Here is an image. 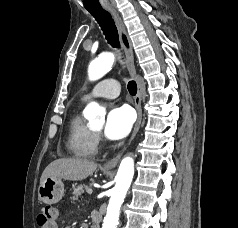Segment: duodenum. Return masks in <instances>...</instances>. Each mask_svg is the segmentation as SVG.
I'll list each match as a JSON object with an SVG mask.
<instances>
[{"label": "duodenum", "instance_id": "1", "mask_svg": "<svg viewBox=\"0 0 238 228\" xmlns=\"http://www.w3.org/2000/svg\"><path fill=\"white\" fill-rule=\"evenodd\" d=\"M90 219L93 223L92 228H100V225L102 223V214L98 211H92L90 213Z\"/></svg>", "mask_w": 238, "mask_h": 228}]
</instances>
